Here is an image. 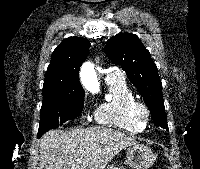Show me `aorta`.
Listing matches in <instances>:
<instances>
[{
	"mask_svg": "<svg viewBox=\"0 0 200 169\" xmlns=\"http://www.w3.org/2000/svg\"><path fill=\"white\" fill-rule=\"evenodd\" d=\"M80 77L84 86L90 91H97L99 89V82L94 69V65L92 63L85 62L82 65Z\"/></svg>",
	"mask_w": 200,
	"mask_h": 169,
	"instance_id": "obj_1",
	"label": "aorta"
}]
</instances>
